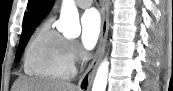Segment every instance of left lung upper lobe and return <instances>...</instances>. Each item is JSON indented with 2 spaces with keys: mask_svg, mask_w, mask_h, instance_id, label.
<instances>
[{
  "mask_svg": "<svg viewBox=\"0 0 173 91\" xmlns=\"http://www.w3.org/2000/svg\"><path fill=\"white\" fill-rule=\"evenodd\" d=\"M31 2H32V1H31V0H29V2H28V7L31 5Z\"/></svg>",
  "mask_w": 173,
  "mask_h": 91,
  "instance_id": "obj_1",
  "label": "left lung upper lobe"
}]
</instances>
